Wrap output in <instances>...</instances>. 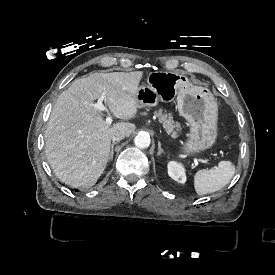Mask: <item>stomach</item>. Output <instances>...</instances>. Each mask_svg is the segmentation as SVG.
<instances>
[{
  "label": "stomach",
  "mask_w": 275,
  "mask_h": 275,
  "mask_svg": "<svg viewBox=\"0 0 275 275\" xmlns=\"http://www.w3.org/2000/svg\"><path fill=\"white\" fill-rule=\"evenodd\" d=\"M177 99L178 111L190 125L188 140L181 152L194 155L210 148L217 137L218 103L211 91L193 85L179 72L155 71L147 78V85L138 87L135 100L139 108L154 107L159 102Z\"/></svg>",
  "instance_id": "1"
}]
</instances>
